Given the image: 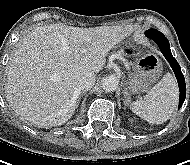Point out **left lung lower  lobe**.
Here are the masks:
<instances>
[{"mask_svg":"<svg viewBox=\"0 0 190 165\" xmlns=\"http://www.w3.org/2000/svg\"><path fill=\"white\" fill-rule=\"evenodd\" d=\"M148 38L154 40L157 43V45L161 49V52L163 53L167 61L170 63V66L175 73L180 90V99H179V108H180L186 97L185 79L181 72L180 65L178 64L176 59L172 56L169 42L161 32L154 35H149Z\"/></svg>","mask_w":190,"mask_h":165,"instance_id":"left-lung-lower-lobe-1","label":"left lung lower lobe"}]
</instances>
